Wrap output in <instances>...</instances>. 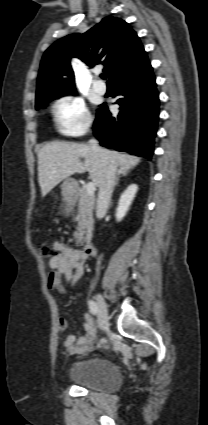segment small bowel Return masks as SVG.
I'll return each mask as SVG.
<instances>
[{"label": "small bowel", "mask_w": 208, "mask_h": 425, "mask_svg": "<svg viewBox=\"0 0 208 425\" xmlns=\"http://www.w3.org/2000/svg\"><path fill=\"white\" fill-rule=\"evenodd\" d=\"M55 254L49 260L51 272L47 279L50 290L66 293L67 286H74L85 272L86 255L66 244L56 241L52 245ZM84 332H77L67 336L63 341V347L70 355L83 354L90 350L96 338V328L93 320L88 314L84 316ZM59 328L65 331L68 321L59 319Z\"/></svg>", "instance_id": "1"}]
</instances>
